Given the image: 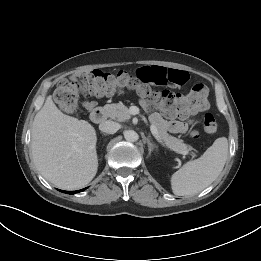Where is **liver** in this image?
<instances>
[{
	"label": "liver",
	"mask_w": 261,
	"mask_h": 261,
	"mask_svg": "<svg viewBox=\"0 0 261 261\" xmlns=\"http://www.w3.org/2000/svg\"><path fill=\"white\" fill-rule=\"evenodd\" d=\"M96 141L94 127L63 114L50 95L33 121L32 159L41 175L56 187L82 188L97 173Z\"/></svg>",
	"instance_id": "6515ba94"
}]
</instances>
